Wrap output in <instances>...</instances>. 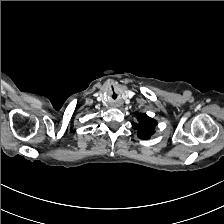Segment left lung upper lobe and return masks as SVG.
Wrapping results in <instances>:
<instances>
[{"instance_id":"5c2ea615","label":"left lung upper lobe","mask_w":224,"mask_h":224,"mask_svg":"<svg viewBox=\"0 0 224 224\" xmlns=\"http://www.w3.org/2000/svg\"><path fill=\"white\" fill-rule=\"evenodd\" d=\"M156 120L148 117L146 114L138 115V123H132V126L138 129V137L141 139H149L155 132Z\"/></svg>"}]
</instances>
